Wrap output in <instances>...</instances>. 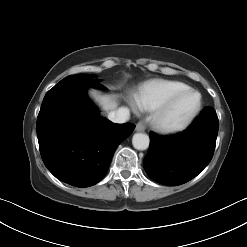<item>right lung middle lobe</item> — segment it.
<instances>
[{"label":"right lung middle lobe","mask_w":247,"mask_h":247,"mask_svg":"<svg viewBox=\"0 0 247 247\" xmlns=\"http://www.w3.org/2000/svg\"><path fill=\"white\" fill-rule=\"evenodd\" d=\"M74 80H94V81H99V80H95L94 76H90V75H70V76L64 78L63 80H61L59 83L70 82V81H74Z\"/></svg>","instance_id":"dd1d6c3e"}]
</instances>
